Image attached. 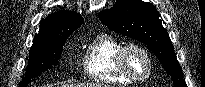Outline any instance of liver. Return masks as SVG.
Listing matches in <instances>:
<instances>
[{
  "label": "liver",
  "instance_id": "1",
  "mask_svg": "<svg viewBox=\"0 0 205 87\" xmlns=\"http://www.w3.org/2000/svg\"><path fill=\"white\" fill-rule=\"evenodd\" d=\"M60 87H107L100 83H87V84H63Z\"/></svg>",
  "mask_w": 205,
  "mask_h": 87
}]
</instances>
